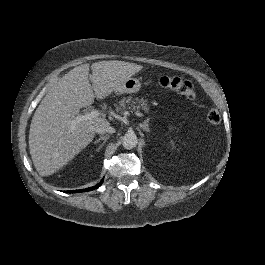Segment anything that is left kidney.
Returning a JSON list of instances; mask_svg holds the SVG:
<instances>
[{
  "label": "left kidney",
  "mask_w": 265,
  "mask_h": 265,
  "mask_svg": "<svg viewBox=\"0 0 265 265\" xmlns=\"http://www.w3.org/2000/svg\"><path fill=\"white\" fill-rule=\"evenodd\" d=\"M168 144H169L170 147H172V148H174V149H179V148L175 145V142H174L173 140H170Z\"/></svg>",
  "instance_id": "obj_1"
}]
</instances>
